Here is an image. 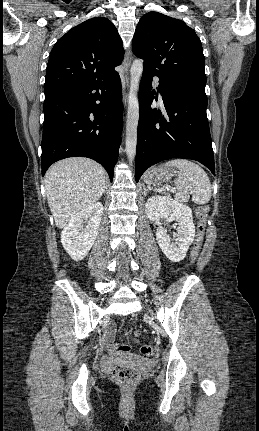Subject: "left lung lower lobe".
I'll return each instance as SVG.
<instances>
[{
  "mask_svg": "<svg viewBox=\"0 0 259 431\" xmlns=\"http://www.w3.org/2000/svg\"><path fill=\"white\" fill-rule=\"evenodd\" d=\"M154 75L157 74L144 69L140 84L136 182L151 165L171 158L196 160L215 175L205 91L169 83L157 75L164 106L162 110L151 109Z\"/></svg>",
  "mask_w": 259,
  "mask_h": 431,
  "instance_id": "1",
  "label": "left lung lower lobe"
}]
</instances>
